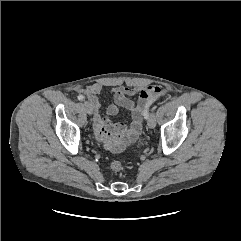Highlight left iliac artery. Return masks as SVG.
Masks as SVG:
<instances>
[{"label": "left iliac artery", "mask_w": 241, "mask_h": 241, "mask_svg": "<svg viewBox=\"0 0 241 241\" xmlns=\"http://www.w3.org/2000/svg\"><path fill=\"white\" fill-rule=\"evenodd\" d=\"M144 116H145V119H148V118H149V112H148V110L145 111Z\"/></svg>", "instance_id": "1"}]
</instances>
